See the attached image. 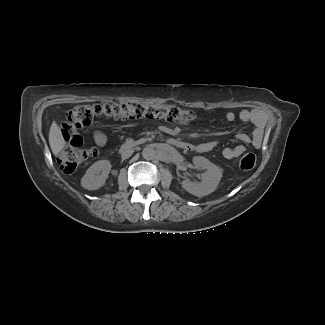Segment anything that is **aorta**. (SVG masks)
<instances>
[{"mask_svg": "<svg viewBox=\"0 0 325 325\" xmlns=\"http://www.w3.org/2000/svg\"><path fill=\"white\" fill-rule=\"evenodd\" d=\"M142 156L146 160H153L156 157V151L152 147H145L142 151Z\"/></svg>", "mask_w": 325, "mask_h": 325, "instance_id": "762f6f07", "label": "aorta"}]
</instances>
